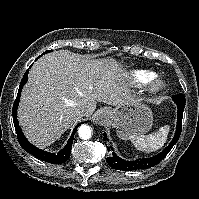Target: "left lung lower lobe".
Returning <instances> with one entry per match:
<instances>
[{"label":"left lung lower lobe","mask_w":199,"mask_h":199,"mask_svg":"<svg viewBox=\"0 0 199 199\" xmlns=\"http://www.w3.org/2000/svg\"><path fill=\"white\" fill-rule=\"evenodd\" d=\"M174 102L177 104L178 113H177V125L175 135L170 142V144L159 154L150 158H142L133 161H126L118 157L114 152L106 158L107 163L116 170H123V171H131V170H139V169H148L150 167L155 166L158 164L172 149V147L178 141L181 131H182V117L183 111L185 108V97L182 93L173 96ZM104 141L106 142L105 145L108 151H112L113 148L110 145H107V134L104 133Z\"/></svg>","instance_id":"obj_1"}]
</instances>
